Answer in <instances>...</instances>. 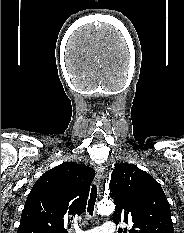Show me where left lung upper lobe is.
Wrapping results in <instances>:
<instances>
[{
    "label": "left lung upper lobe",
    "mask_w": 184,
    "mask_h": 233,
    "mask_svg": "<svg viewBox=\"0 0 184 233\" xmlns=\"http://www.w3.org/2000/svg\"><path fill=\"white\" fill-rule=\"evenodd\" d=\"M109 189L116 205L113 221L130 225L118 233H174L166 195L147 172L134 164H116Z\"/></svg>",
    "instance_id": "5c2ea615"
}]
</instances>
